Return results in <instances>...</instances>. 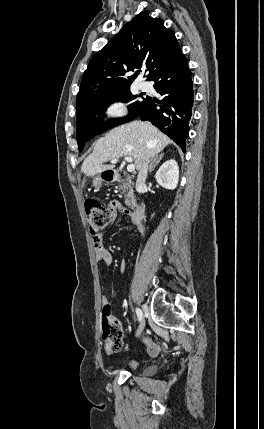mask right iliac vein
<instances>
[{"label": "right iliac vein", "mask_w": 264, "mask_h": 429, "mask_svg": "<svg viewBox=\"0 0 264 429\" xmlns=\"http://www.w3.org/2000/svg\"><path fill=\"white\" fill-rule=\"evenodd\" d=\"M144 327H145V320H144V318H142V320L140 321V324L138 326V330H137V334H136L137 337L141 335V333L144 330Z\"/></svg>", "instance_id": "1"}]
</instances>
